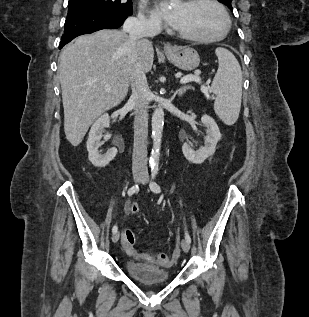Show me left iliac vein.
<instances>
[{"label":"left iliac vein","instance_id":"obj_1","mask_svg":"<svg viewBox=\"0 0 309 317\" xmlns=\"http://www.w3.org/2000/svg\"><path fill=\"white\" fill-rule=\"evenodd\" d=\"M148 181H149V177H148V175L145 173V174L143 175V178L141 179V183H142V184H147ZM181 247H182L183 251L186 252V253L190 250V244L187 242L186 239H183V240L181 241Z\"/></svg>","mask_w":309,"mask_h":317}]
</instances>
